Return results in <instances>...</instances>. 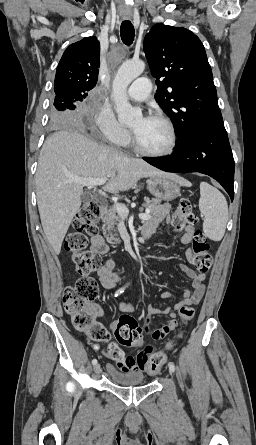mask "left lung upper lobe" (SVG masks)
Masks as SVG:
<instances>
[{"mask_svg": "<svg viewBox=\"0 0 256 445\" xmlns=\"http://www.w3.org/2000/svg\"><path fill=\"white\" fill-rule=\"evenodd\" d=\"M143 47L158 86L156 102L175 125L178 141L196 128L224 127L211 67L194 33L156 24Z\"/></svg>", "mask_w": 256, "mask_h": 445, "instance_id": "left-lung-upper-lobe-1", "label": "left lung upper lobe"}]
</instances>
